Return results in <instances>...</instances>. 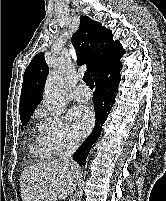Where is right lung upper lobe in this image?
Here are the masks:
<instances>
[{
	"mask_svg": "<svg viewBox=\"0 0 166 201\" xmlns=\"http://www.w3.org/2000/svg\"><path fill=\"white\" fill-rule=\"evenodd\" d=\"M79 65L87 64L94 80L111 65L121 64L125 50L118 40H113L112 31L101 23L81 16L80 26L72 36ZM49 69L44 54H37L26 68L20 96V118L31 116L39 102Z\"/></svg>",
	"mask_w": 166,
	"mask_h": 201,
	"instance_id": "right-lung-upper-lobe-1",
	"label": "right lung upper lobe"
}]
</instances>
